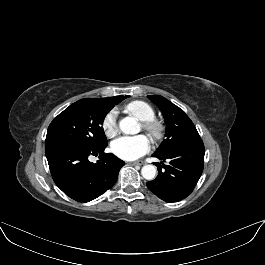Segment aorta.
<instances>
[{
    "label": "aorta",
    "instance_id": "1",
    "mask_svg": "<svg viewBox=\"0 0 265 265\" xmlns=\"http://www.w3.org/2000/svg\"><path fill=\"white\" fill-rule=\"evenodd\" d=\"M120 130L125 134H137L141 127L132 117H125L119 123ZM141 174L146 180H153L156 175V168L153 165H145L141 169Z\"/></svg>",
    "mask_w": 265,
    "mask_h": 265
}]
</instances>
